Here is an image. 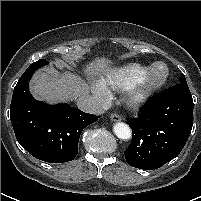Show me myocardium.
<instances>
[{"mask_svg": "<svg viewBox=\"0 0 201 201\" xmlns=\"http://www.w3.org/2000/svg\"><path fill=\"white\" fill-rule=\"evenodd\" d=\"M157 65H163L165 67L164 76L158 81H150L149 75L153 68ZM170 71L169 67L164 62H155L146 70V72L128 89L126 94V102L129 106L138 108L147 104L152 97L165 86L169 79Z\"/></svg>", "mask_w": 201, "mask_h": 201, "instance_id": "f54148a6", "label": "myocardium"}]
</instances>
